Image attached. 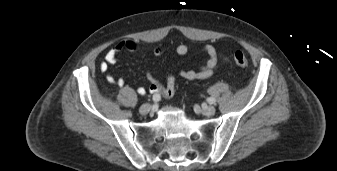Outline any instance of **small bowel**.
Segmentation results:
<instances>
[{"label":"small bowel","mask_w":337,"mask_h":171,"mask_svg":"<svg viewBox=\"0 0 337 171\" xmlns=\"http://www.w3.org/2000/svg\"><path fill=\"white\" fill-rule=\"evenodd\" d=\"M139 46L134 40H123L116 46L109 49L104 57V61L100 64L102 72H107L109 66L118 62L119 57L124 52H136ZM188 52V47L185 44H181L176 48V53L179 56H184ZM163 51L161 48L156 47L153 50L155 57H160ZM202 53L208 56L207 62L197 69H183L180 71V76L186 80H205L213 76L220 61H225L226 57L222 53L210 44L203 46ZM146 78L149 82V91L154 95H161L164 98H171L175 92L176 77L170 74L166 78V85H163L152 73H147ZM106 79L108 82L116 84L119 87L125 86V80L123 78H115L112 74H107ZM138 94L143 95L146 92L144 87L137 89Z\"/></svg>","instance_id":"small-bowel-1"}]
</instances>
